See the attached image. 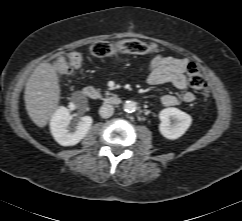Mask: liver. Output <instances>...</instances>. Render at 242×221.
Listing matches in <instances>:
<instances>
[{"label":"liver","instance_id":"6515ba94","mask_svg":"<svg viewBox=\"0 0 242 221\" xmlns=\"http://www.w3.org/2000/svg\"><path fill=\"white\" fill-rule=\"evenodd\" d=\"M59 78L48 62L39 64L30 75L25 87V106L31 120L45 127L60 101Z\"/></svg>","mask_w":242,"mask_h":221}]
</instances>
